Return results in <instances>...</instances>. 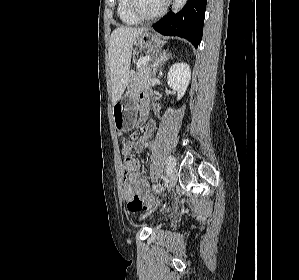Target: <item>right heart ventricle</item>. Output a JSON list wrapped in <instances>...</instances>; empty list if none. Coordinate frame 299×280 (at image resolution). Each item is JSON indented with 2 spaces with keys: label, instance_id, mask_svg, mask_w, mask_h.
<instances>
[{
  "label": "right heart ventricle",
  "instance_id": "obj_1",
  "mask_svg": "<svg viewBox=\"0 0 299 280\" xmlns=\"http://www.w3.org/2000/svg\"><path fill=\"white\" fill-rule=\"evenodd\" d=\"M128 4V0H118V17L125 25H137L140 21L131 14Z\"/></svg>",
  "mask_w": 299,
  "mask_h": 280
}]
</instances>
